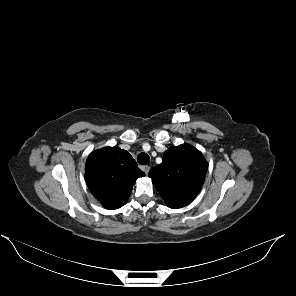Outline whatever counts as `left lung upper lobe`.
Returning <instances> with one entry per match:
<instances>
[{
  "instance_id": "left-lung-upper-lobe-1",
  "label": "left lung upper lobe",
  "mask_w": 296,
  "mask_h": 296,
  "mask_svg": "<svg viewBox=\"0 0 296 296\" xmlns=\"http://www.w3.org/2000/svg\"><path fill=\"white\" fill-rule=\"evenodd\" d=\"M208 164L202 153L189 144L170 147L161 164L152 168L149 177L167 206L173 209L188 205L200 192Z\"/></svg>"
}]
</instances>
